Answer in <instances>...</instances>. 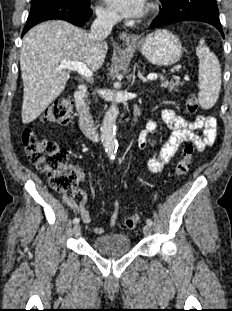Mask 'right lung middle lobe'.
Listing matches in <instances>:
<instances>
[{
  "label": "right lung middle lobe",
  "mask_w": 232,
  "mask_h": 311,
  "mask_svg": "<svg viewBox=\"0 0 232 311\" xmlns=\"http://www.w3.org/2000/svg\"><path fill=\"white\" fill-rule=\"evenodd\" d=\"M49 1H58V2H64V3H71L73 5L82 7V8H89V0H32V5H36L43 2H49Z\"/></svg>",
  "instance_id": "1"
}]
</instances>
